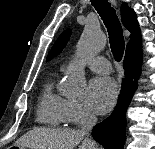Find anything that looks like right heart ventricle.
I'll return each instance as SVG.
<instances>
[{
    "label": "right heart ventricle",
    "mask_w": 155,
    "mask_h": 149,
    "mask_svg": "<svg viewBox=\"0 0 155 149\" xmlns=\"http://www.w3.org/2000/svg\"><path fill=\"white\" fill-rule=\"evenodd\" d=\"M67 99L54 90V80H49L42 91L38 109L37 121L49 126H60L67 123Z\"/></svg>",
    "instance_id": "1"
}]
</instances>
